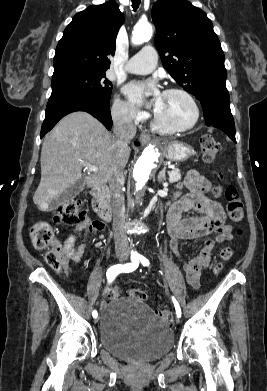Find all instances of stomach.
<instances>
[{"label":"stomach","instance_id":"0dacf381","mask_svg":"<svg viewBox=\"0 0 267 391\" xmlns=\"http://www.w3.org/2000/svg\"><path fill=\"white\" fill-rule=\"evenodd\" d=\"M193 154V148L190 145L181 142L170 143L166 151L167 159L175 162L185 161Z\"/></svg>","mask_w":267,"mask_h":391}]
</instances>
